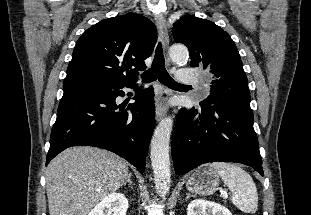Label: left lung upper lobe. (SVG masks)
I'll use <instances>...</instances> for the list:
<instances>
[{"label":"left lung upper lobe","instance_id":"5c2ea615","mask_svg":"<svg viewBox=\"0 0 311 215\" xmlns=\"http://www.w3.org/2000/svg\"><path fill=\"white\" fill-rule=\"evenodd\" d=\"M173 37L190 52L191 67L210 72L209 96L202 101L236 102L250 105L248 80L237 47L229 34L215 23L185 15L175 22Z\"/></svg>","mask_w":311,"mask_h":215}]
</instances>
